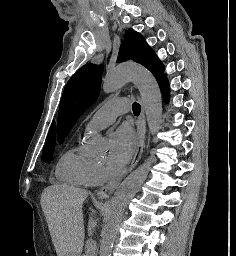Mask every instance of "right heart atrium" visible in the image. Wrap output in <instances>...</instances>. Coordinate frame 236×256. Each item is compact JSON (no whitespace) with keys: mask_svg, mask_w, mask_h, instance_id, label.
I'll return each instance as SVG.
<instances>
[{"mask_svg":"<svg viewBox=\"0 0 236 256\" xmlns=\"http://www.w3.org/2000/svg\"><path fill=\"white\" fill-rule=\"evenodd\" d=\"M108 178L106 169L98 163H92L87 175L86 184L90 187H95L103 184Z\"/></svg>","mask_w":236,"mask_h":256,"instance_id":"d8ad5b80","label":"right heart atrium"}]
</instances>
